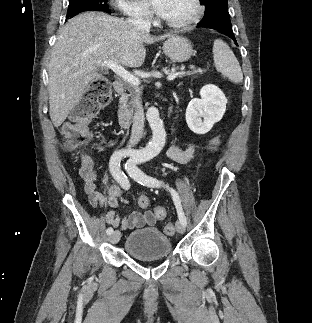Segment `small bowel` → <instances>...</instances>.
<instances>
[{"mask_svg":"<svg viewBox=\"0 0 312 323\" xmlns=\"http://www.w3.org/2000/svg\"><path fill=\"white\" fill-rule=\"evenodd\" d=\"M167 156L177 163H188L193 157V146L189 145L184 149L171 146L167 150ZM79 173L83 181L84 192L87 194L90 204L100 207L109 225L116 228L120 227L122 230H132L145 226L152 227L160 219L155 214L156 210H146L143 213L132 212L126 218L120 219L114 210H107V207L118 208L120 203L123 202L119 188L111 184L106 187L105 193L97 190L95 184L97 173L94 163L89 157L83 158Z\"/></svg>","mask_w":312,"mask_h":323,"instance_id":"c3829d8e","label":"small bowel"}]
</instances>
